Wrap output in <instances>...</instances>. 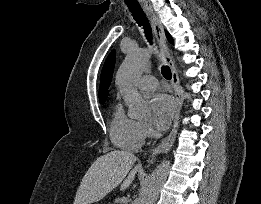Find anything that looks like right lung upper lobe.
<instances>
[{
	"instance_id": "obj_1",
	"label": "right lung upper lobe",
	"mask_w": 261,
	"mask_h": 204,
	"mask_svg": "<svg viewBox=\"0 0 261 204\" xmlns=\"http://www.w3.org/2000/svg\"><path fill=\"white\" fill-rule=\"evenodd\" d=\"M115 57L116 53L113 50L109 56L107 57L102 73H101V83H100V90H99V99L100 102H105L107 95H108V88L110 86L113 70L115 66Z\"/></svg>"
}]
</instances>
